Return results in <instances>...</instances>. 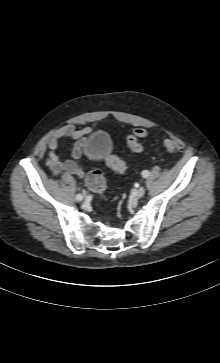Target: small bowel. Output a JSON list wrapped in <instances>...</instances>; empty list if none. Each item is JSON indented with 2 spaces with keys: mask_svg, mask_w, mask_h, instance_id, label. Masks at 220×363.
I'll use <instances>...</instances> for the list:
<instances>
[{
  "mask_svg": "<svg viewBox=\"0 0 220 363\" xmlns=\"http://www.w3.org/2000/svg\"><path fill=\"white\" fill-rule=\"evenodd\" d=\"M91 132L89 127L77 129L74 125L68 124L57 129L50 137L48 142V156L46 164L54 175H59L62 172L77 176L85 177V171L82 168L79 159L82 154L87 135ZM65 138L77 140L73 148L71 158L62 160L56 153L60 142Z\"/></svg>",
  "mask_w": 220,
  "mask_h": 363,
  "instance_id": "small-bowel-1",
  "label": "small bowel"
}]
</instances>
